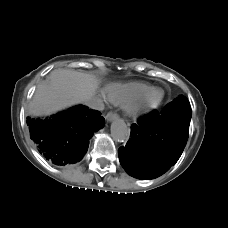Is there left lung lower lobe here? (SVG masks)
I'll use <instances>...</instances> for the list:
<instances>
[{
  "instance_id": "left-lung-lower-lobe-1",
  "label": "left lung lower lobe",
  "mask_w": 228,
  "mask_h": 228,
  "mask_svg": "<svg viewBox=\"0 0 228 228\" xmlns=\"http://www.w3.org/2000/svg\"><path fill=\"white\" fill-rule=\"evenodd\" d=\"M191 110L165 107L131 126V138L118 150L123 168L133 177L156 178L180 158L189 135Z\"/></svg>"
}]
</instances>
